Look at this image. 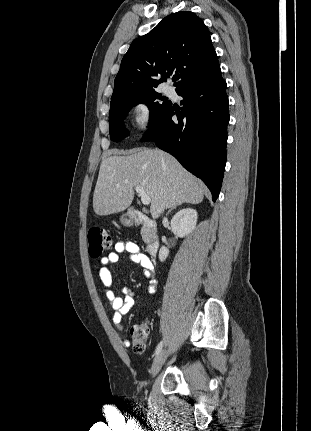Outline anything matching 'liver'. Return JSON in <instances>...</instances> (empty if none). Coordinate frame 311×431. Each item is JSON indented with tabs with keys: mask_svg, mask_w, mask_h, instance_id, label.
Wrapping results in <instances>:
<instances>
[{
	"mask_svg": "<svg viewBox=\"0 0 311 431\" xmlns=\"http://www.w3.org/2000/svg\"><path fill=\"white\" fill-rule=\"evenodd\" d=\"M112 152L113 156L105 158L100 166L92 202L96 216L127 210L134 200L135 186L150 196L153 219L177 204L202 202L205 186L170 154L158 148Z\"/></svg>",
	"mask_w": 311,
	"mask_h": 431,
	"instance_id": "6515ba94",
	"label": "liver"
}]
</instances>
